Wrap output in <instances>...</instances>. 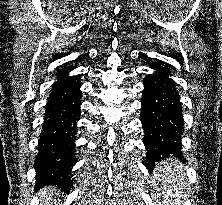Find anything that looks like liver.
Segmentation results:
<instances>
[{"label": "liver", "instance_id": "obj_1", "mask_svg": "<svg viewBox=\"0 0 222 205\" xmlns=\"http://www.w3.org/2000/svg\"><path fill=\"white\" fill-rule=\"evenodd\" d=\"M54 190H55L54 187H46L41 190V195L44 203L43 205H52L51 198L48 197V194H50V192H53Z\"/></svg>", "mask_w": 222, "mask_h": 205}]
</instances>
